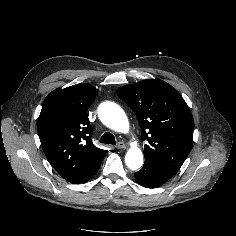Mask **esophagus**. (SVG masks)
<instances>
[{
	"mask_svg": "<svg viewBox=\"0 0 236 236\" xmlns=\"http://www.w3.org/2000/svg\"><path fill=\"white\" fill-rule=\"evenodd\" d=\"M115 147H116L117 149H124V148H126V145H125V143H123V142H118Z\"/></svg>",
	"mask_w": 236,
	"mask_h": 236,
	"instance_id": "esophagus-1",
	"label": "esophagus"
}]
</instances>
